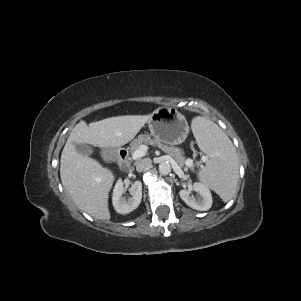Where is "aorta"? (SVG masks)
I'll use <instances>...</instances> for the list:
<instances>
[{
    "label": "aorta",
    "instance_id": "aorta-1",
    "mask_svg": "<svg viewBox=\"0 0 301 301\" xmlns=\"http://www.w3.org/2000/svg\"><path fill=\"white\" fill-rule=\"evenodd\" d=\"M159 172L162 175H168L171 172V165L168 162H162L159 164Z\"/></svg>",
    "mask_w": 301,
    "mask_h": 301
}]
</instances>
